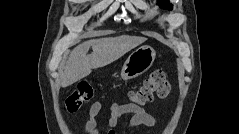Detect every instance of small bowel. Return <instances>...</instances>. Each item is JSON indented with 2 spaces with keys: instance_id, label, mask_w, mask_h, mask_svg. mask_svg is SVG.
I'll list each match as a JSON object with an SVG mask.
<instances>
[{
  "instance_id": "1",
  "label": "small bowel",
  "mask_w": 239,
  "mask_h": 134,
  "mask_svg": "<svg viewBox=\"0 0 239 134\" xmlns=\"http://www.w3.org/2000/svg\"><path fill=\"white\" fill-rule=\"evenodd\" d=\"M104 108L105 105L102 102H95L90 106L88 111L89 117L84 126L85 134L102 133L101 128L97 124L96 117ZM128 114L131 115V119L128 124L130 133H132L133 130L140 125L152 127L156 124L155 118L139 105H136L134 103H113L110 107V119L108 122L109 129L107 133L115 134V130L113 129V127L124 115Z\"/></svg>"
}]
</instances>
